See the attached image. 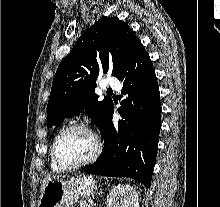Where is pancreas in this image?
Returning <instances> with one entry per match:
<instances>
[{"mask_svg":"<svg viewBox=\"0 0 220 207\" xmlns=\"http://www.w3.org/2000/svg\"><path fill=\"white\" fill-rule=\"evenodd\" d=\"M78 207H89V205L86 203V201H81V202L78 204Z\"/></svg>","mask_w":220,"mask_h":207,"instance_id":"pancreas-1","label":"pancreas"}]
</instances>
